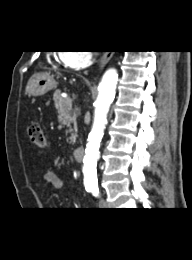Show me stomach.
<instances>
[{"label":"stomach","mask_w":192,"mask_h":260,"mask_svg":"<svg viewBox=\"0 0 192 260\" xmlns=\"http://www.w3.org/2000/svg\"><path fill=\"white\" fill-rule=\"evenodd\" d=\"M55 80L53 76L44 73L34 75L28 82V93L33 96H41L55 88Z\"/></svg>","instance_id":"1"}]
</instances>
